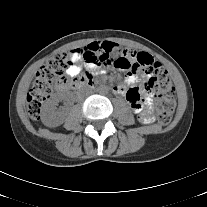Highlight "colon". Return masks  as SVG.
<instances>
[{
	"label": "colon",
	"mask_w": 207,
	"mask_h": 207,
	"mask_svg": "<svg viewBox=\"0 0 207 207\" xmlns=\"http://www.w3.org/2000/svg\"><path fill=\"white\" fill-rule=\"evenodd\" d=\"M74 51L89 66H114L131 71H150L153 76L147 82L146 88L155 95L157 119L163 125L171 121L175 110L174 87L167 70L154 61V55L150 50H126L109 41L94 42L71 52H58L40 67L27 95V113L31 119H40L42 107L51 96L54 87L67 82L64 72L71 64Z\"/></svg>",
	"instance_id": "obj_1"
}]
</instances>
